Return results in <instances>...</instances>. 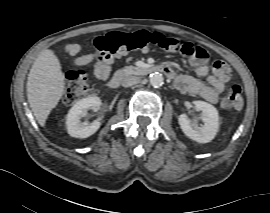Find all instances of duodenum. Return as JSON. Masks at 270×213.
Returning a JSON list of instances; mask_svg holds the SVG:
<instances>
[{
  "label": "duodenum",
  "instance_id": "duodenum-1",
  "mask_svg": "<svg viewBox=\"0 0 270 213\" xmlns=\"http://www.w3.org/2000/svg\"><path fill=\"white\" fill-rule=\"evenodd\" d=\"M143 73H150V72H159L167 76L168 78L173 77V73L171 70L168 68L167 65L165 64H157V65H152L148 68H143L142 69ZM127 76L126 71L121 70L119 71L113 78H111L107 84V88L109 90H115L119 87L121 80L124 79Z\"/></svg>",
  "mask_w": 270,
  "mask_h": 213
}]
</instances>
